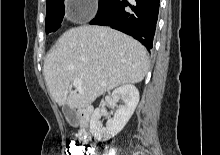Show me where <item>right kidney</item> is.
<instances>
[{"instance_id":"1","label":"right kidney","mask_w":220,"mask_h":155,"mask_svg":"<svg viewBox=\"0 0 220 155\" xmlns=\"http://www.w3.org/2000/svg\"><path fill=\"white\" fill-rule=\"evenodd\" d=\"M119 99H122L125 105L117 109L113 119L107 121L106 127H103L99 120L102 116L100 109L97 108L93 112L90 120V132L95 138L108 140L125 127L139 102L138 89L131 84L120 86L112 92V102L116 103Z\"/></svg>"}]
</instances>
